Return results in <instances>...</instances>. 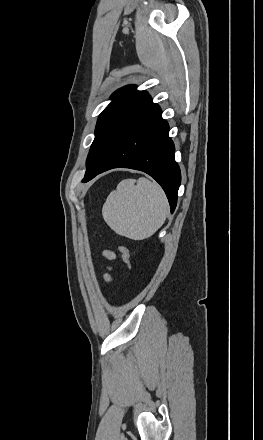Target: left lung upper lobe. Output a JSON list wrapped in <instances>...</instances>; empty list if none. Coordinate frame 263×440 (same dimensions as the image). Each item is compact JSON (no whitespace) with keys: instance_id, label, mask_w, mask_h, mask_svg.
Instances as JSON below:
<instances>
[{"instance_id":"1","label":"left lung upper lobe","mask_w":263,"mask_h":440,"mask_svg":"<svg viewBox=\"0 0 263 440\" xmlns=\"http://www.w3.org/2000/svg\"><path fill=\"white\" fill-rule=\"evenodd\" d=\"M111 99L98 118L85 177L105 166L132 119L151 97L146 91H137L130 85L117 90Z\"/></svg>"}]
</instances>
